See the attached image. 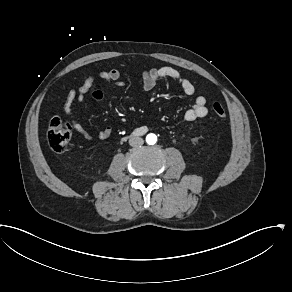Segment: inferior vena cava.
I'll return each instance as SVG.
<instances>
[{
    "label": "inferior vena cava",
    "mask_w": 292,
    "mask_h": 292,
    "mask_svg": "<svg viewBox=\"0 0 292 292\" xmlns=\"http://www.w3.org/2000/svg\"><path fill=\"white\" fill-rule=\"evenodd\" d=\"M144 140L140 137H131L129 139V145L131 146H140L143 145Z\"/></svg>",
    "instance_id": "1"
}]
</instances>
